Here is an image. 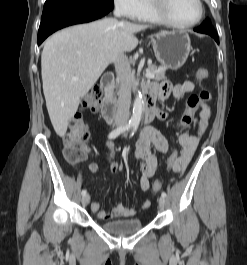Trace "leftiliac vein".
<instances>
[{
	"instance_id": "1",
	"label": "left iliac vein",
	"mask_w": 247,
	"mask_h": 265,
	"mask_svg": "<svg viewBox=\"0 0 247 265\" xmlns=\"http://www.w3.org/2000/svg\"><path fill=\"white\" fill-rule=\"evenodd\" d=\"M166 206V198L165 197H160L159 198V208L163 210Z\"/></svg>"
}]
</instances>
